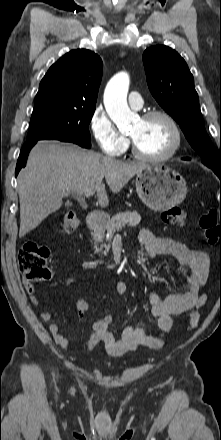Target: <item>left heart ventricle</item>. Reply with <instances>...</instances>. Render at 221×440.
<instances>
[{
	"label": "left heart ventricle",
	"mask_w": 221,
	"mask_h": 440,
	"mask_svg": "<svg viewBox=\"0 0 221 440\" xmlns=\"http://www.w3.org/2000/svg\"><path fill=\"white\" fill-rule=\"evenodd\" d=\"M138 149L146 155H161L173 143V132L169 123L162 117L148 120L139 119L130 131Z\"/></svg>",
	"instance_id": "b2bd125f"
}]
</instances>
